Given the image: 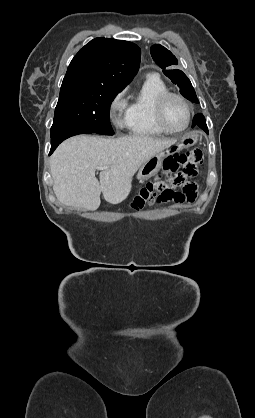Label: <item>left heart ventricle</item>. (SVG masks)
Listing matches in <instances>:
<instances>
[{
	"label": "left heart ventricle",
	"mask_w": 255,
	"mask_h": 418,
	"mask_svg": "<svg viewBox=\"0 0 255 418\" xmlns=\"http://www.w3.org/2000/svg\"><path fill=\"white\" fill-rule=\"evenodd\" d=\"M166 124L172 129H180L187 122V109L184 104L176 98L170 99L165 108Z\"/></svg>",
	"instance_id": "left-heart-ventricle-1"
}]
</instances>
